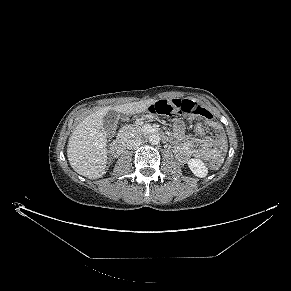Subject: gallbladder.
Masks as SVG:
<instances>
[{
	"instance_id": "bac80fb5",
	"label": "gallbladder",
	"mask_w": 291,
	"mask_h": 291,
	"mask_svg": "<svg viewBox=\"0 0 291 291\" xmlns=\"http://www.w3.org/2000/svg\"><path fill=\"white\" fill-rule=\"evenodd\" d=\"M119 113L114 110H109L103 117V131L108 136L114 135L117 123L119 120Z\"/></svg>"
}]
</instances>
